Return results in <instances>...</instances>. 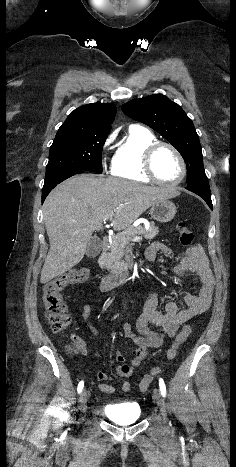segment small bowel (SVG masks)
Wrapping results in <instances>:
<instances>
[{
    "instance_id": "small-bowel-1",
    "label": "small bowel",
    "mask_w": 236,
    "mask_h": 467,
    "mask_svg": "<svg viewBox=\"0 0 236 467\" xmlns=\"http://www.w3.org/2000/svg\"><path fill=\"white\" fill-rule=\"evenodd\" d=\"M158 253L166 256L171 255V250L163 243L152 242L145 251V259L148 263H153ZM173 277L177 280L185 279L190 275H194L199 279L200 287L198 293L187 294L178 301H170L165 304L164 310L158 309V299L153 290H149L144 303L143 311L136 319L135 327L141 333V336L136 335L130 324L124 326V334L131 339L136 348L132 351V358L128 362L122 353L117 352L115 359L120 365L116 369V373L120 377L129 378L134 374L137 367L141 365L147 356L148 348H158L163 345L165 336L173 338L179 327L185 322L206 312L212 302V294L214 287V278L208 264L207 257L199 247H192L185 251L182 259L178 264L171 269ZM91 304H85L81 317L87 328L94 336H98L99 332L92 323ZM84 347L82 352H85ZM159 373V372H158ZM99 381L104 382L108 379L106 372L99 371L97 373ZM131 388L129 381H123L120 384V389L124 392ZM100 391L104 393H114L115 388L106 383L99 385Z\"/></svg>"
}]
</instances>
